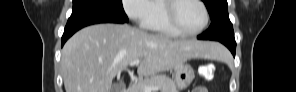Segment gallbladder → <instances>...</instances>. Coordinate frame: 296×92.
<instances>
[{
    "mask_svg": "<svg viewBox=\"0 0 296 92\" xmlns=\"http://www.w3.org/2000/svg\"><path fill=\"white\" fill-rule=\"evenodd\" d=\"M125 85L123 83H115L112 86V92H123Z\"/></svg>",
    "mask_w": 296,
    "mask_h": 92,
    "instance_id": "1",
    "label": "gallbladder"
}]
</instances>
